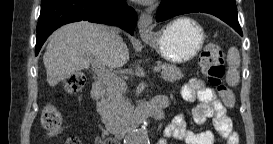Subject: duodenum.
I'll use <instances>...</instances> for the list:
<instances>
[{
    "mask_svg": "<svg viewBox=\"0 0 273 144\" xmlns=\"http://www.w3.org/2000/svg\"><path fill=\"white\" fill-rule=\"evenodd\" d=\"M91 99L97 104H101L104 95V86L100 82H94L91 88ZM169 101L165 96H157L149 103L136 107L134 113L124 122L110 128L111 133L117 139L123 138L131 129L145 120H161L165 116V108Z\"/></svg>",
    "mask_w": 273,
    "mask_h": 144,
    "instance_id": "obj_1",
    "label": "duodenum"
}]
</instances>
